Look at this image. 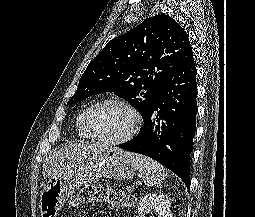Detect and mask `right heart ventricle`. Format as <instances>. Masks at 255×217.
<instances>
[{
  "label": "right heart ventricle",
  "mask_w": 255,
  "mask_h": 217,
  "mask_svg": "<svg viewBox=\"0 0 255 217\" xmlns=\"http://www.w3.org/2000/svg\"><path fill=\"white\" fill-rule=\"evenodd\" d=\"M84 112H85V110L80 112V114L77 116L76 127H77V130H78L79 137L84 138V139H90L91 137L87 133V131L85 130L84 125H83Z\"/></svg>",
  "instance_id": "right-heart-ventricle-1"
}]
</instances>
